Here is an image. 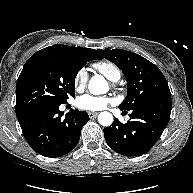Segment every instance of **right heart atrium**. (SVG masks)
Listing matches in <instances>:
<instances>
[{"mask_svg": "<svg viewBox=\"0 0 193 193\" xmlns=\"http://www.w3.org/2000/svg\"><path fill=\"white\" fill-rule=\"evenodd\" d=\"M88 81V71L85 67H81L77 70L73 78V85L77 91H82Z\"/></svg>", "mask_w": 193, "mask_h": 193, "instance_id": "obj_1", "label": "right heart atrium"}]
</instances>
